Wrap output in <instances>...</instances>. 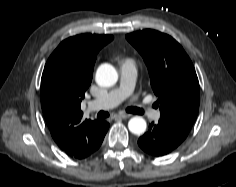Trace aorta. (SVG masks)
<instances>
[{
    "instance_id": "1",
    "label": "aorta",
    "mask_w": 236,
    "mask_h": 187,
    "mask_svg": "<svg viewBox=\"0 0 236 187\" xmlns=\"http://www.w3.org/2000/svg\"><path fill=\"white\" fill-rule=\"evenodd\" d=\"M96 83L102 87L113 86L118 80L116 69L110 64H102L98 67L95 77ZM146 121L139 116L133 117L128 122L130 132L135 135H141L146 130Z\"/></svg>"
}]
</instances>
